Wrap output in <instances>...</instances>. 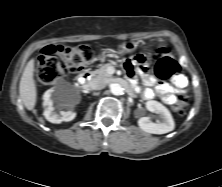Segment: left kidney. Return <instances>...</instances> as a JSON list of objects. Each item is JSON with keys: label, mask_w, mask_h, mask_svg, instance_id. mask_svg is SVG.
I'll list each match as a JSON object with an SVG mask.
<instances>
[{"label": "left kidney", "mask_w": 222, "mask_h": 187, "mask_svg": "<svg viewBox=\"0 0 222 187\" xmlns=\"http://www.w3.org/2000/svg\"><path fill=\"white\" fill-rule=\"evenodd\" d=\"M146 109L159 115L156 122H152L149 117H141L138 120L139 127L148 133L165 134L174 130L175 124L170 111L161 103L151 100L146 102Z\"/></svg>", "instance_id": "1"}]
</instances>
